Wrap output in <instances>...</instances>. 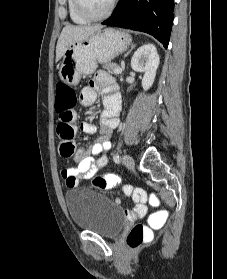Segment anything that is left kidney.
I'll use <instances>...</instances> for the list:
<instances>
[{
	"label": "left kidney",
	"instance_id": "left-kidney-1",
	"mask_svg": "<svg viewBox=\"0 0 227 279\" xmlns=\"http://www.w3.org/2000/svg\"><path fill=\"white\" fill-rule=\"evenodd\" d=\"M159 61L157 49L151 43L142 45L135 51L131 59V67L134 71L144 72L142 79L144 90H148L153 85Z\"/></svg>",
	"mask_w": 227,
	"mask_h": 279
}]
</instances>
